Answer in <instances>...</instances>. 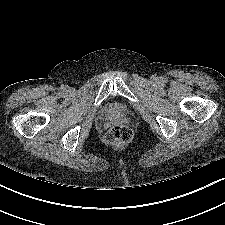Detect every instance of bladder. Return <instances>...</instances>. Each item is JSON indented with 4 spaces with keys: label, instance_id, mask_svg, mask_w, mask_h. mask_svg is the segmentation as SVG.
<instances>
[{
    "label": "bladder",
    "instance_id": "31cf9c89",
    "mask_svg": "<svg viewBox=\"0 0 225 225\" xmlns=\"http://www.w3.org/2000/svg\"><path fill=\"white\" fill-rule=\"evenodd\" d=\"M127 112V107L122 104H116L109 106L105 109V116H110L112 114H125Z\"/></svg>",
    "mask_w": 225,
    "mask_h": 225
}]
</instances>
